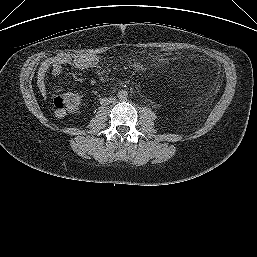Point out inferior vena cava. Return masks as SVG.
Wrapping results in <instances>:
<instances>
[{
	"label": "inferior vena cava",
	"instance_id": "inferior-vena-cava-1",
	"mask_svg": "<svg viewBox=\"0 0 257 257\" xmlns=\"http://www.w3.org/2000/svg\"><path fill=\"white\" fill-rule=\"evenodd\" d=\"M113 98H107L106 100H104L105 102H107V104H109V103H111V102H113Z\"/></svg>",
	"mask_w": 257,
	"mask_h": 257
}]
</instances>
